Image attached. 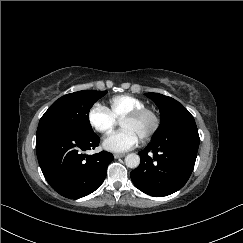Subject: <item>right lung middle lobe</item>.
<instances>
[{
	"instance_id": "obj_1",
	"label": "right lung middle lobe",
	"mask_w": 243,
	"mask_h": 243,
	"mask_svg": "<svg viewBox=\"0 0 243 243\" xmlns=\"http://www.w3.org/2000/svg\"><path fill=\"white\" fill-rule=\"evenodd\" d=\"M106 93L84 90L62 96L40 119L37 134L50 130L93 134L88 114L93 104Z\"/></svg>"
}]
</instances>
